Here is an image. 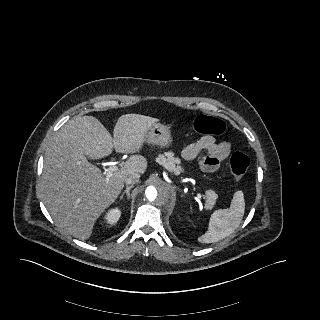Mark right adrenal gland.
Here are the masks:
<instances>
[{
	"instance_id": "2a0ac1e0",
	"label": "right adrenal gland",
	"mask_w": 320,
	"mask_h": 320,
	"mask_svg": "<svg viewBox=\"0 0 320 320\" xmlns=\"http://www.w3.org/2000/svg\"><path fill=\"white\" fill-rule=\"evenodd\" d=\"M133 188V185H129L126 187L125 191L122 193V195L120 196V200L123 199L124 195H127V199H130V189Z\"/></svg>"
}]
</instances>
